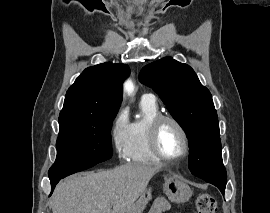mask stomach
I'll list each match as a JSON object with an SVG mask.
<instances>
[{
	"label": "stomach",
	"mask_w": 270,
	"mask_h": 213,
	"mask_svg": "<svg viewBox=\"0 0 270 213\" xmlns=\"http://www.w3.org/2000/svg\"><path fill=\"white\" fill-rule=\"evenodd\" d=\"M162 187L168 199L175 203H183L190 199L192 190L184 179L169 172H162ZM151 199L150 191H146L126 213H143L148 201Z\"/></svg>",
	"instance_id": "obj_1"
}]
</instances>
